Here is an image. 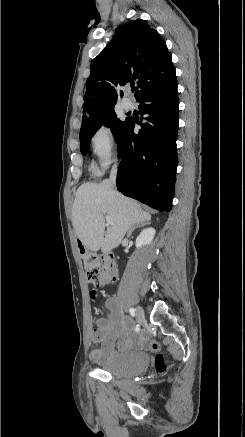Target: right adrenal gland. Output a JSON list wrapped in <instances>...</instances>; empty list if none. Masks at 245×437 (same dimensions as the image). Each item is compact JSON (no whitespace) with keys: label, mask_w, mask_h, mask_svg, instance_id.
Wrapping results in <instances>:
<instances>
[{"label":"right adrenal gland","mask_w":245,"mask_h":437,"mask_svg":"<svg viewBox=\"0 0 245 437\" xmlns=\"http://www.w3.org/2000/svg\"><path fill=\"white\" fill-rule=\"evenodd\" d=\"M145 224H147V223L144 222V223H140V224H137V225L132 226V227L128 230V234H131V233L134 231L135 228L142 227V226H144Z\"/></svg>","instance_id":"1"}]
</instances>
